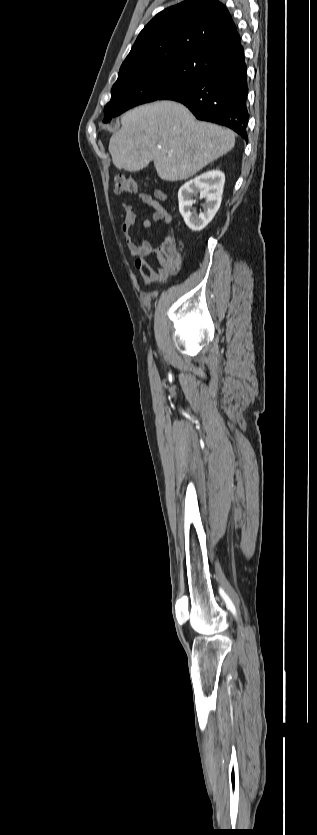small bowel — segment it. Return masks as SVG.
<instances>
[{"label": "small bowel", "instance_id": "c3829d8e", "mask_svg": "<svg viewBox=\"0 0 317 835\" xmlns=\"http://www.w3.org/2000/svg\"><path fill=\"white\" fill-rule=\"evenodd\" d=\"M167 198L164 191L157 189L154 196L148 193H141L139 199L142 204L150 207L153 210L152 219H144L142 226L145 229L152 227L153 222H163L169 224L172 221L171 214L161 205L160 201ZM125 217L122 224V232L125 237V242L130 255L134 258V266L141 271L150 285H162L168 277L177 272L180 267L181 260L179 255L175 258L165 254L161 249H154L149 240H142L137 242L133 237V228L137 222V215L133 210L132 205L124 204ZM152 254L156 255L157 265L153 266L149 263L148 257Z\"/></svg>", "mask_w": 317, "mask_h": 835}]
</instances>
